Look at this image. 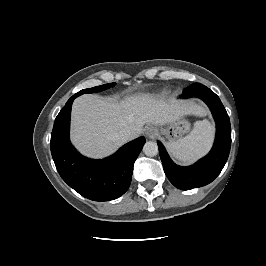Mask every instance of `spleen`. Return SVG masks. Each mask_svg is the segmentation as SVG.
<instances>
[{
  "mask_svg": "<svg viewBox=\"0 0 266 266\" xmlns=\"http://www.w3.org/2000/svg\"><path fill=\"white\" fill-rule=\"evenodd\" d=\"M213 126L207 120L194 124L192 132L177 141L167 142L169 152L179 161L190 163L206 154L213 141Z\"/></svg>",
  "mask_w": 266,
  "mask_h": 266,
  "instance_id": "obj_1",
  "label": "spleen"
}]
</instances>
